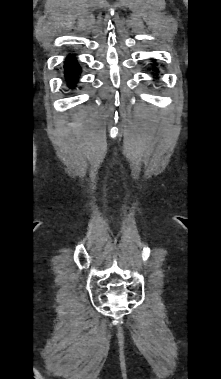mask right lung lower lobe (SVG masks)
Listing matches in <instances>:
<instances>
[{"label": "right lung lower lobe", "instance_id": "98d812e1", "mask_svg": "<svg viewBox=\"0 0 221 379\" xmlns=\"http://www.w3.org/2000/svg\"><path fill=\"white\" fill-rule=\"evenodd\" d=\"M80 73V67L77 64L76 60L72 57H69L65 61V75L66 79L71 86L76 83L77 75Z\"/></svg>", "mask_w": 221, "mask_h": 379}]
</instances>
